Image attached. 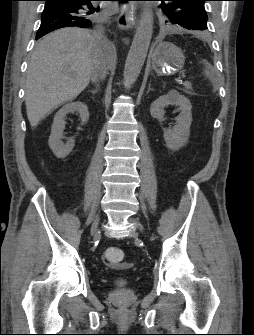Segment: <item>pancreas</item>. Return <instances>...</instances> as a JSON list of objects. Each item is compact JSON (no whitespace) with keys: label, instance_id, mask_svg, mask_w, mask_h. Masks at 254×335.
Instances as JSON below:
<instances>
[{"label":"pancreas","instance_id":"pancreas-1","mask_svg":"<svg viewBox=\"0 0 254 335\" xmlns=\"http://www.w3.org/2000/svg\"><path fill=\"white\" fill-rule=\"evenodd\" d=\"M183 85L185 87V89H184L185 93H187V94H193V92H192V84L189 81L184 82Z\"/></svg>","mask_w":254,"mask_h":335}]
</instances>
